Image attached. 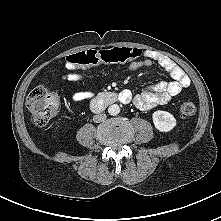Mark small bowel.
<instances>
[{
	"mask_svg": "<svg viewBox=\"0 0 221 221\" xmlns=\"http://www.w3.org/2000/svg\"><path fill=\"white\" fill-rule=\"evenodd\" d=\"M154 63L159 65L171 77L170 81L160 82L151 87L142 89L139 93L132 96L128 90L123 91L122 95L130 97L134 106L141 110H148L155 106L167 103L172 97L178 95L183 89L190 86V78L187 74L170 58L154 51H147L140 60L130 62L124 69L117 71L114 77H118L127 72L135 71L142 67H150ZM65 79L77 82L82 79V75L77 72H71L65 76ZM95 94L91 91H77L72 95L74 102H86L94 99Z\"/></svg>",
	"mask_w": 221,
	"mask_h": 221,
	"instance_id": "c3829d8e",
	"label": "small bowel"
}]
</instances>
